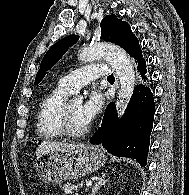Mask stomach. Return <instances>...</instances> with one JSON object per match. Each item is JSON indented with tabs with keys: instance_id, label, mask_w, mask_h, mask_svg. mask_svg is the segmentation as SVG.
<instances>
[{
	"instance_id": "0dacf381",
	"label": "stomach",
	"mask_w": 189,
	"mask_h": 195,
	"mask_svg": "<svg viewBox=\"0 0 189 195\" xmlns=\"http://www.w3.org/2000/svg\"><path fill=\"white\" fill-rule=\"evenodd\" d=\"M106 161L104 152L97 146L85 145L71 151H52L37 158L39 178L45 183L60 184L100 169Z\"/></svg>"
}]
</instances>
